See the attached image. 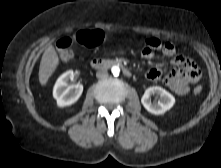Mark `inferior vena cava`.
<instances>
[{
    "label": "inferior vena cava",
    "instance_id": "602c4592",
    "mask_svg": "<svg viewBox=\"0 0 221 168\" xmlns=\"http://www.w3.org/2000/svg\"><path fill=\"white\" fill-rule=\"evenodd\" d=\"M96 77L98 79H103V78H106L108 77V71L106 69H99L97 72H96Z\"/></svg>",
    "mask_w": 221,
    "mask_h": 168
}]
</instances>
